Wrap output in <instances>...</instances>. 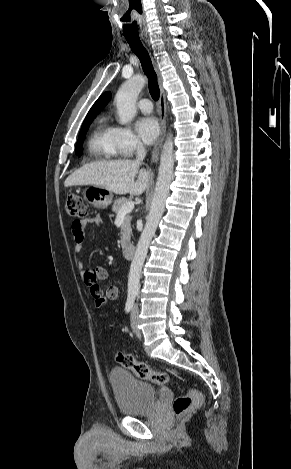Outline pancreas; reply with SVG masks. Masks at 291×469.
<instances>
[{"mask_svg": "<svg viewBox=\"0 0 291 469\" xmlns=\"http://www.w3.org/2000/svg\"><path fill=\"white\" fill-rule=\"evenodd\" d=\"M127 202H129V199L122 197L117 199L112 207V211L115 214H118L122 206H124ZM131 219L132 217L127 214L123 220L122 226H121V245L125 246L127 243L130 242V235H131Z\"/></svg>", "mask_w": 291, "mask_h": 469, "instance_id": "obj_1", "label": "pancreas"}]
</instances>
